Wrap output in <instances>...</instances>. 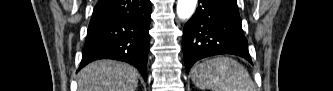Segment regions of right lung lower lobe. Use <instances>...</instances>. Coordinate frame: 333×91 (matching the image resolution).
Returning a JSON list of instances; mask_svg holds the SVG:
<instances>
[{"label": "right lung lower lobe", "mask_w": 333, "mask_h": 91, "mask_svg": "<svg viewBox=\"0 0 333 91\" xmlns=\"http://www.w3.org/2000/svg\"><path fill=\"white\" fill-rule=\"evenodd\" d=\"M150 15V0H99L78 71L92 61L109 58L136 66L147 80Z\"/></svg>", "instance_id": "right-lung-lower-lobe-1"}]
</instances>
